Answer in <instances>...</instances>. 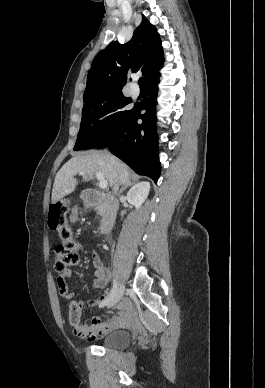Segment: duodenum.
Listing matches in <instances>:
<instances>
[{"label": "duodenum", "mask_w": 265, "mask_h": 388, "mask_svg": "<svg viewBox=\"0 0 265 388\" xmlns=\"http://www.w3.org/2000/svg\"><path fill=\"white\" fill-rule=\"evenodd\" d=\"M83 201L88 206H97L102 209L100 222L101 233H107L113 227L118 213V200L109 193L93 189L86 190L82 195Z\"/></svg>", "instance_id": "410a0bca"}]
</instances>
